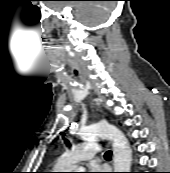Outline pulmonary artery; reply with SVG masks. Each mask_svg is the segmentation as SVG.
Returning <instances> with one entry per match:
<instances>
[{
    "label": "pulmonary artery",
    "mask_w": 170,
    "mask_h": 173,
    "mask_svg": "<svg viewBox=\"0 0 170 173\" xmlns=\"http://www.w3.org/2000/svg\"><path fill=\"white\" fill-rule=\"evenodd\" d=\"M101 151L100 146L94 142L86 141L75 145L67 151L61 158L66 165H72L81 161H87L94 158Z\"/></svg>",
    "instance_id": "1"
}]
</instances>
